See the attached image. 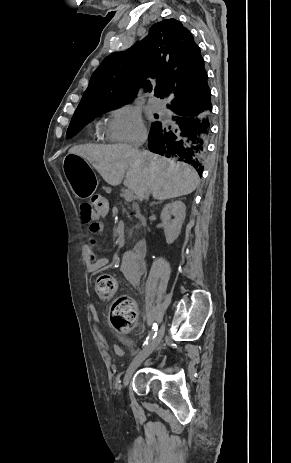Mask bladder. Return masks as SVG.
I'll use <instances>...</instances> for the list:
<instances>
[{
	"mask_svg": "<svg viewBox=\"0 0 291 463\" xmlns=\"http://www.w3.org/2000/svg\"><path fill=\"white\" fill-rule=\"evenodd\" d=\"M123 343L129 345V342L127 340L123 341Z\"/></svg>",
	"mask_w": 291,
	"mask_h": 463,
	"instance_id": "31cf9c89",
	"label": "bladder"
}]
</instances>
